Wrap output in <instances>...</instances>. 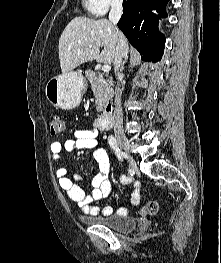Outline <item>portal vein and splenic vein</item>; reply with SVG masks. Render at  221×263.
Returning <instances> with one entry per match:
<instances>
[{
	"label": "portal vein and splenic vein",
	"instance_id": "portal-vein-and-splenic-vein-1",
	"mask_svg": "<svg viewBox=\"0 0 221 263\" xmlns=\"http://www.w3.org/2000/svg\"><path fill=\"white\" fill-rule=\"evenodd\" d=\"M90 48H92V47L90 46ZM110 69H111V67H110L109 64H104V65L102 66V71H103L104 73H108V72L110 71Z\"/></svg>",
	"mask_w": 221,
	"mask_h": 263
}]
</instances>
